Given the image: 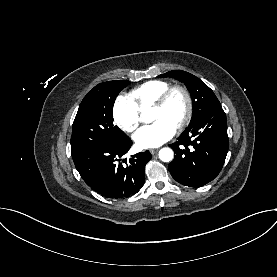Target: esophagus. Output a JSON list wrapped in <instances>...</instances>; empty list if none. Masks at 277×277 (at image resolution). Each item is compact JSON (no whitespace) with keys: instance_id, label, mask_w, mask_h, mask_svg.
Instances as JSON below:
<instances>
[{"instance_id":"obj_1","label":"esophagus","mask_w":277,"mask_h":277,"mask_svg":"<svg viewBox=\"0 0 277 277\" xmlns=\"http://www.w3.org/2000/svg\"><path fill=\"white\" fill-rule=\"evenodd\" d=\"M158 152V149H150L151 154H156Z\"/></svg>"}]
</instances>
